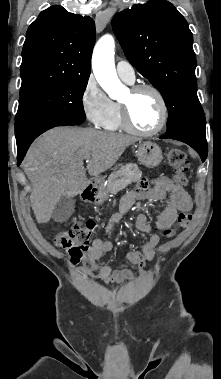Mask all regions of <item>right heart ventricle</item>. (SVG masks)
<instances>
[{"mask_svg": "<svg viewBox=\"0 0 221 379\" xmlns=\"http://www.w3.org/2000/svg\"><path fill=\"white\" fill-rule=\"evenodd\" d=\"M102 127L112 131L123 128L121 121L120 104L118 102L112 101L111 112L103 123Z\"/></svg>", "mask_w": 221, "mask_h": 379, "instance_id": "right-heart-ventricle-1", "label": "right heart ventricle"}]
</instances>
